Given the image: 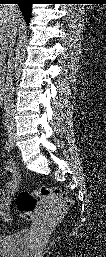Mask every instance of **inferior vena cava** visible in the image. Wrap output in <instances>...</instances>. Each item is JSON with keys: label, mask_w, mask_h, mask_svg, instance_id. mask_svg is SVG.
<instances>
[{"label": "inferior vena cava", "mask_w": 106, "mask_h": 257, "mask_svg": "<svg viewBox=\"0 0 106 257\" xmlns=\"http://www.w3.org/2000/svg\"><path fill=\"white\" fill-rule=\"evenodd\" d=\"M17 28L13 27L10 33L8 34V45L2 51L1 57V73L2 76L6 77L4 84V109H5V125L8 130L14 128V86L12 79V62L11 58L13 56V47L16 41ZM8 55L9 59L7 66L4 62V58Z\"/></svg>", "instance_id": "obj_1"}]
</instances>
